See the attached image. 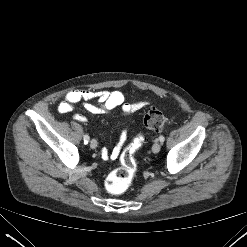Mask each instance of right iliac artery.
Segmentation results:
<instances>
[{"label":"right iliac artery","instance_id":"1","mask_svg":"<svg viewBox=\"0 0 247 247\" xmlns=\"http://www.w3.org/2000/svg\"><path fill=\"white\" fill-rule=\"evenodd\" d=\"M89 140H90V137L87 134L84 135V143L88 144Z\"/></svg>","mask_w":247,"mask_h":247}]
</instances>
